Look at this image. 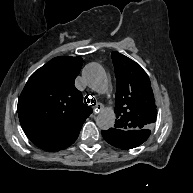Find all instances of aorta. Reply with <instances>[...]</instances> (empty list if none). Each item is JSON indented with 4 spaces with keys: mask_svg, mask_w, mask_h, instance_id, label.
<instances>
[{
    "mask_svg": "<svg viewBox=\"0 0 193 193\" xmlns=\"http://www.w3.org/2000/svg\"><path fill=\"white\" fill-rule=\"evenodd\" d=\"M87 85L93 91L103 94L108 89V78L104 68L98 63H90L85 66L82 73ZM116 115L113 109L106 108L96 117V124L101 130H107L114 126Z\"/></svg>",
    "mask_w": 193,
    "mask_h": 193,
    "instance_id": "762f6f07",
    "label": "aorta"
}]
</instances>
